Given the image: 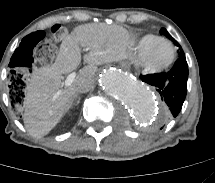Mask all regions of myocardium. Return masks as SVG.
Instances as JSON below:
<instances>
[{
    "label": "myocardium",
    "instance_id": "myocardium-1",
    "mask_svg": "<svg viewBox=\"0 0 215 183\" xmlns=\"http://www.w3.org/2000/svg\"><path fill=\"white\" fill-rule=\"evenodd\" d=\"M162 44H167L170 47V55L164 60L155 61L154 53ZM175 59L176 48L174 44L167 39H161L143 54V56L140 58V65L146 74L158 75L168 70L174 64Z\"/></svg>",
    "mask_w": 215,
    "mask_h": 183
}]
</instances>
